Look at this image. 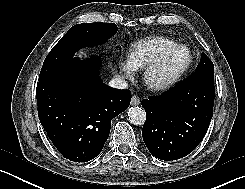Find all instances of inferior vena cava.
<instances>
[{
    "label": "inferior vena cava",
    "instance_id": "obj_1",
    "mask_svg": "<svg viewBox=\"0 0 245 189\" xmlns=\"http://www.w3.org/2000/svg\"><path fill=\"white\" fill-rule=\"evenodd\" d=\"M112 88L116 89H126L128 84L127 82L121 77H114L108 84Z\"/></svg>",
    "mask_w": 245,
    "mask_h": 189
}]
</instances>
